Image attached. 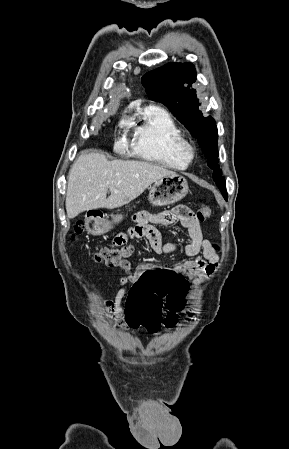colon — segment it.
<instances>
[{"mask_svg": "<svg viewBox=\"0 0 289 449\" xmlns=\"http://www.w3.org/2000/svg\"><path fill=\"white\" fill-rule=\"evenodd\" d=\"M213 217L211 207L202 202L197 211L199 221H208ZM86 225H94L79 220L74 226V235L81 234ZM215 250L217 245H213ZM132 253L130 246H108L101 248L94 254L95 262L108 267L118 266ZM188 285L180 271L173 268H145L133 283L129 291L128 301L125 302L126 318L131 327L143 326L155 333L162 325L172 327L177 320V312L185 305V293ZM167 306L168 315L163 318V307Z\"/></svg>", "mask_w": 289, "mask_h": 449, "instance_id": "colon-1", "label": "colon"}]
</instances>
